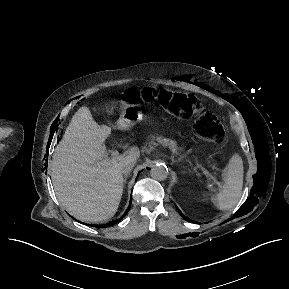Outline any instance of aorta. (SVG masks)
Here are the masks:
<instances>
[{
	"mask_svg": "<svg viewBox=\"0 0 289 289\" xmlns=\"http://www.w3.org/2000/svg\"><path fill=\"white\" fill-rule=\"evenodd\" d=\"M150 175L155 180L163 181L168 176V168L163 164H156L151 168Z\"/></svg>",
	"mask_w": 289,
	"mask_h": 289,
	"instance_id": "aorta-1",
	"label": "aorta"
}]
</instances>
